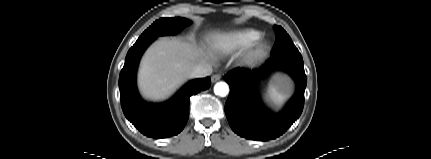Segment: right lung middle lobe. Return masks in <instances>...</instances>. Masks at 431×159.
<instances>
[{
  "label": "right lung middle lobe",
  "instance_id": "dd1d6c3e",
  "mask_svg": "<svg viewBox=\"0 0 431 159\" xmlns=\"http://www.w3.org/2000/svg\"><path fill=\"white\" fill-rule=\"evenodd\" d=\"M190 24V21L181 18H161L156 20L147 30H145L138 40H146L150 38H157L158 36L163 35H172L181 31L183 27Z\"/></svg>",
  "mask_w": 431,
  "mask_h": 159
}]
</instances>
